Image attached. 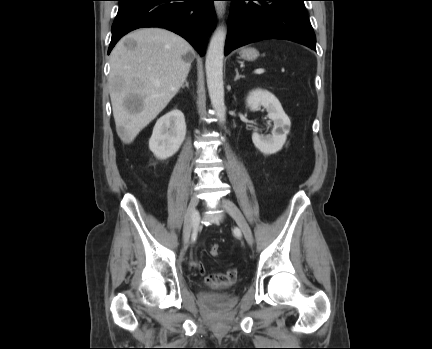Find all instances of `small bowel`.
Masks as SVG:
<instances>
[{
    "mask_svg": "<svg viewBox=\"0 0 432 349\" xmlns=\"http://www.w3.org/2000/svg\"><path fill=\"white\" fill-rule=\"evenodd\" d=\"M201 274L204 273V268L199 267ZM237 277V270L235 268H230L225 272L208 274L204 278V282L207 286L212 288L224 287L232 284Z\"/></svg>",
    "mask_w": 432,
    "mask_h": 349,
    "instance_id": "obj_1",
    "label": "small bowel"
}]
</instances>
